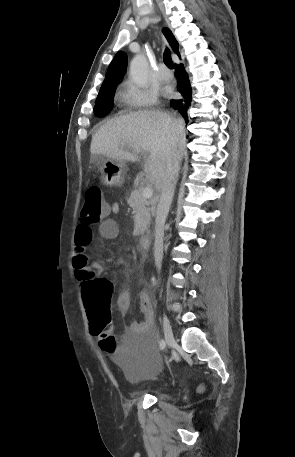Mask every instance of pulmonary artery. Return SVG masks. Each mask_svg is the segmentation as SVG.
<instances>
[{"label":"pulmonary artery","mask_w":295,"mask_h":457,"mask_svg":"<svg viewBox=\"0 0 295 457\" xmlns=\"http://www.w3.org/2000/svg\"><path fill=\"white\" fill-rule=\"evenodd\" d=\"M158 76L162 81H168L171 79V73L164 64L159 65Z\"/></svg>","instance_id":"pulmonary-artery-1"}]
</instances>
